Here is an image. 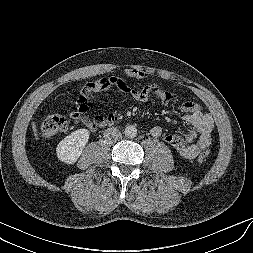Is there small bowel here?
<instances>
[{
	"label": "small bowel",
	"mask_w": 253,
	"mask_h": 253,
	"mask_svg": "<svg viewBox=\"0 0 253 253\" xmlns=\"http://www.w3.org/2000/svg\"><path fill=\"white\" fill-rule=\"evenodd\" d=\"M127 78H145L147 72L142 69L127 68L124 71ZM117 89L139 102H146L151 98H156L162 104H168L176 99V95L163 89L158 84H149L143 88H135L119 77L111 76L89 82L83 86L76 99V109L71 112V118L75 124H82L90 131L94 132L99 127L106 125L109 118L86 116L89 105L88 97L92 93ZM111 104V103H110ZM181 110L184 113V121L192 126V130L183 136L167 135L165 142L173 147L175 151L184 159L196 158L199 153L206 149L211 143V134L214 129L213 118L202 111V108L195 102L186 101L182 103ZM154 138H160L163 134L161 126H154L150 130Z\"/></svg>",
	"instance_id": "1"
}]
</instances>
